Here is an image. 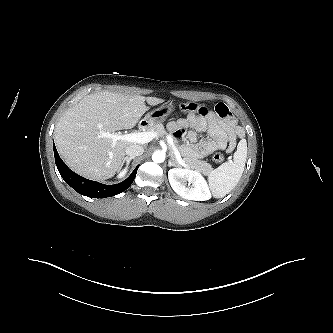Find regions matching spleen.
<instances>
[{
	"mask_svg": "<svg viewBox=\"0 0 333 333\" xmlns=\"http://www.w3.org/2000/svg\"><path fill=\"white\" fill-rule=\"evenodd\" d=\"M247 157V142L240 140L233 160L223 163L209 174L208 180L215 198H223L240 181Z\"/></svg>",
	"mask_w": 333,
	"mask_h": 333,
	"instance_id": "3e777b00",
	"label": "spleen"
}]
</instances>
